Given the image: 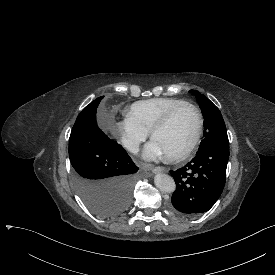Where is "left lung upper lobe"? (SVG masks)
Here are the masks:
<instances>
[{
	"instance_id": "left-lung-upper-lobe-1",
	"label": "left lung upper lobe",
	"mask_w": 275,
	"mask_h": 275,
	"mask_svg": "<svg viewBox=\"0 0 275 275\" xmlns=\"http://www.w3.org/2000/svg\"><path fill=\"white\" fill-rule=\"evenodd\" d=\"M193 92L200 102V107L205 117V138L201 142L199 151L213 144L229 143L226 126L219 109L207 97L200 94L198 91Z\"/></svg>"
}]
</instances>
